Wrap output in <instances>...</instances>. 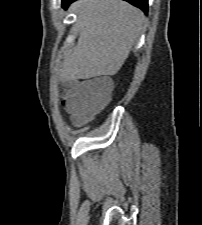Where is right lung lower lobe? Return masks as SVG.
Wrapping results in <instances>:
<instances>
[{
  "instance_id": "right-lung-lower-lobe-1",
  "label": "right lung lower lobe",
  "mask_w": 202,
  "mask_h": 225,
  "mask_svg": "<svg viewBox=\"0 0 202 225\" xmlns=\"http://www.w3.org/2000/svg\"><path fill=\"white\" fill-rule=\"evenodd\" d=\"M76 0H62V6L67 8V6ZM134 6L142 9L145 13L148 11V0H125Z\"/></svg>"
}]
</instances>
